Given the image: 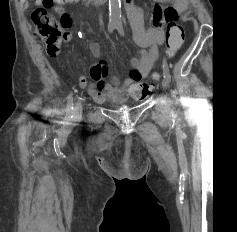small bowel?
<instances>
[{"instance_id": "1", "label": "small bowel", "mask_w": 237, "mask_h": 232, "mask_svg": "<svg viewBox=\"0 0 237 232\" xmlns=\"http://www.w3.org/2000/svg\"><path fill=\"white\" fill-rule=\"evenodd\" d=\"M80 0H66L65 4H75ZM153 12L151 26L144 27L143 18L136 8L128 10L129 19L134 32V39L140 51L130 60V73L128 77L120 81L116 75L112 82L107 81L108 69L104 61L94 65L90 70L93 84L89 87V93L98 103L106 101L122 102L128 98L142 100L149 92L147 84L142 82L153 68L159 57V46L165 41L164 26L175 22L185 11L188 0H153ZM169 3L170 5L165 6ZM59 13H64V9L59 7ZM90 50L95 57L101 54L100 45L97 42L90 44ZM80 85L86 86L85 78L80 79Z\"/></svg>"}]
</instances>
